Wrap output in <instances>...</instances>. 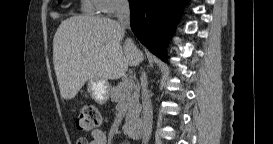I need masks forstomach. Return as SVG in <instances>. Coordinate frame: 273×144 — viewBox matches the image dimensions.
<instances>
[{
    "mask_svg": "<svg viewBox=\"0 0 273 144\" xmlns=\"http://www.w3.org/2000/svg\"><path fill=\"white\" fill-rule=\"evenodd\" d=\"M110 85L105 79H92L88 81L87 90L91 98L99 104H105L109 100Z\"/></svg>",
    "mask_w": 273,
    "mask_h": 144,
    "instance_id": "0dacf381",
    "label": "stomach"
}]
</instances>
